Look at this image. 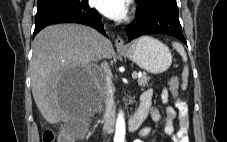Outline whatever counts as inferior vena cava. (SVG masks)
Here are the masks:
<instances>
[{"instance_id":"1","label":"inferior vena cava","mask_w":227,"mask_h":142,"mask_svg":"<svg viewBox=\"0 0 227 142\" xmlns=\"http://www.w3.org/2000/svg\"><path fill=\"white\" fill-rule=\"evenodd\" d=\"M102 40H103V36L96 32L93 40V48L98 58H104L103 49H102ZM103 69L104 71L107 72L106 64L103 65Z\"/></svg>"}]
</instances>
